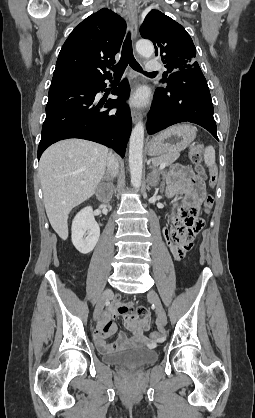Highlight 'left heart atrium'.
<instances>
[{"label":"left heart atrium","instance_id":"39dd6f15","mask_svg":"<svg viewBox=\"0 0 255 418\" xmlns=\"http://www.w3.org/2000/svg\"><path fill=\"white\" fill-rule=\"evenodd\" d=\"M147 93L144 89H139L136 91V93L133 95L131 102L135 105H143L147 101Z\"/></svg>","mask_w":255,"mask_h":418}]
</instances>
